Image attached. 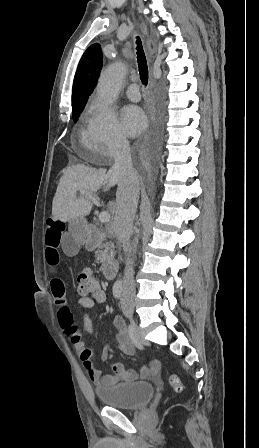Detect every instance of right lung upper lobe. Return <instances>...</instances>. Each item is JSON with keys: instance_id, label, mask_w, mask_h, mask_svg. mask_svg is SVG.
Listing matches in <instances>:
<instances>
[{"instance_id": "right-lung-upper-lobe-1", "label": "right lung upper lobe", "mask_w": 259, "mask_h": 448, "mask_svg": "<svg viewBox=\"0 0 259 448\" xmlns=\"http://www.w3.org/2000/svg\"><path fill=\"white\" fill-rule=\"evenodd\" d=\"M102 69V51L98 43L92 44L84 52L73 83V110L85 107L88 96L93 92Z\"/></svg>"}]
</instances>
